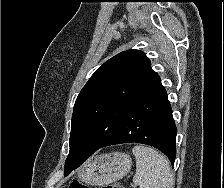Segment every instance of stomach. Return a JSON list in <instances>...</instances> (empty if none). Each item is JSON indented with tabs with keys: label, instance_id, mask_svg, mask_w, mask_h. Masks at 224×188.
Masks as SVG:
<instances>
[{
	"label": "stomach",
	"instance_id": "obj_1",
	"mask_svg": "<svg viewBox=\"0 0 224 188\" xmlns=\"http://www.w3.org/2000/svg\"><path fill=\"white\" fill-rule=\"evenodd\" d=\"M131 157L110 152L89 159L78 171L79 181L90 185H106L122 179L131 169Z\"/></svg>",
	"mask_w": 224,
	"mask_h": 188
}]
</instances>
